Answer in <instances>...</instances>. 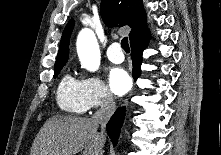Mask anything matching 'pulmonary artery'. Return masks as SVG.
Here are the masks:
<instances>
[{"instance_id":"obj_1","label":"pulmonary artery","mask_w":221,"mask_h":155,"mask_svg":"<svg viewBox=\"0 0 221 155\" xmlns=\"http://www.w3.org/2000/svg\"><path fill=\"white\" fill-rule=\"evenodd\" d=\"M107 57L113 63H122L124 61V54L119 43L114 42L108 47Z\"/></svg>"}]
</instances>
